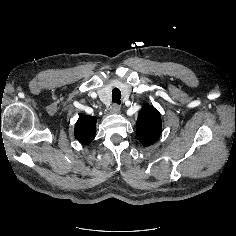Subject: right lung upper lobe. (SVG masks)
<instances>
[{
  "mask_svg": "<svg viewBox=\"0 0 236 236\" xmlns=\"http://www.w3.org/2000/svg\"><path fill=\"white\" fill-rule=\"evenodd\" d=\"M96 118L81 115L75 126V135L83 145L89 144L95 136Z\"/></svg>",
  "mask_w": 236,
  "mask_h": 236,
  "instance_id": "1",
  "label": "right lung upper lobe"
}]
</instances>
